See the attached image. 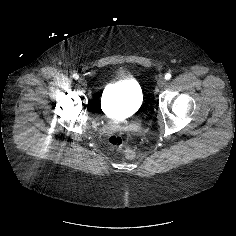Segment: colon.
I'll use <instances>...</instances> for the list:
<instances>
[{
	"label": "colon",
	"instance_id": "obj_1",
	"mask_svg": "<svg viewBox=\"0 0 236 236\" xmlns=\"http://www.w3.org/2000/svg\"><path fill=\"white\" fill-rule=\"evenodd\" d=\"M108 144L114 150L120 152L127 158H132L135 155V152L125 146V140L120 134H112L108 137Z\"/></svg>",
	"mask_w": 236,
	"mask_h": 236
}]
</instances>
